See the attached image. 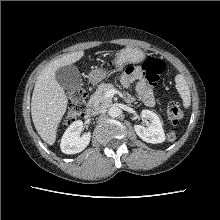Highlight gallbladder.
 I'll return each instance as SVG.
<instances>
[{"mask_svg":"<svg viewBox=\"0 0 220 220\" xmlns=\"http://www.w3.org/2000/svg\"><path fill=\"white\" fill-rule=\"evenodd\" d=\"M56 80L65 90L78 91L82 86V78L75 65H66L57 69Z\"/></svg>","mask_w":220,"mask_h":220,"instance_id":"1","label":"gallbladder"}]
</instances>
